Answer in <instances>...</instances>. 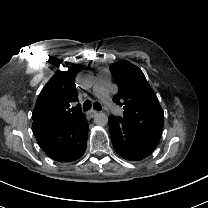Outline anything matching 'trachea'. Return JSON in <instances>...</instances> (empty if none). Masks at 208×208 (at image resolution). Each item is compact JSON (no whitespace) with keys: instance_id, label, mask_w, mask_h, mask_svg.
Here are the masks:
<instances>
[{"instance_id":"3493384b","label":"trachea","mask_w":208,"mask_h":208,"mask_svg":"<svg viewBox=\"0 0 208 208\" xmlns=\"http://www.w3.org/2000/svg\"><path fill=\"white\" fill-rule=\"evenodd\" d=\"M91 107H92L91 101H90V100H86V101L83 103L82 109H83V111H88V110L91 109ZM93 108H94L95 110H98V111H101V110H102V106H101V104H100L99 102H95V103L93 104Z\"/></svg>"}]
</instances>
